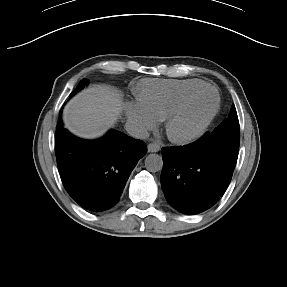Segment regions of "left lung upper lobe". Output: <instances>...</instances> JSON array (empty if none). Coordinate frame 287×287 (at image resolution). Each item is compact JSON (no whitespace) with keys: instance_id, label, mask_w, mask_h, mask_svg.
Segmentation results:
<instances>
[{"instance_id":"left-lung-upper-lobe-1","label":"left lung upper lobe","mask_w":287,"mask_h":287,"mask_svg":"<svg viewBox=\"0 0 287 287\" xmlns=\"http://www.w3.org/2000/svg\"><path fill=\"white\" fill-rule=\"evenodd\" d=\"M216 138L228 143L239 145L240 142V126L235 106L231 108V114L212 132Z\"/></svg>"}]
</instances>
